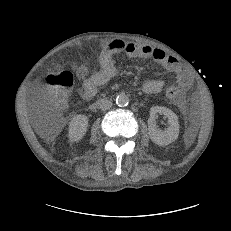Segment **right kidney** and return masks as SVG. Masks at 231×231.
Here are the masks:
<instances>
[{"mask_svg":"<svg viewBox=\"0 0 231 231\" xmlns=\"http://www.w3.org/2000/svg\"><path fill=\"white\" fill-rule=\"evenodd\" d=\"M88 118L86 115H76L69 124V139L72 142L80 141L86 134Z\"/></svg>","mask_w":231,"mask_h":231,"instance_id":"obj_1","label":"right kidney"}]
</instances>
